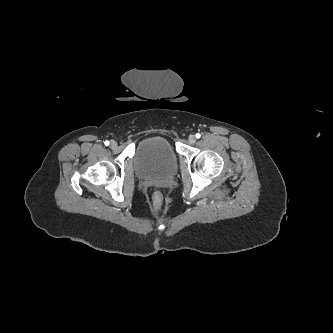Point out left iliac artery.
I'll list each match as a JSON object with an SVG mask.
<instances>
[{"instance_id": "1", "label": "left iliac artery", "mask_w": 333, "mask_h": 333, "mask_svg": "<svg viewBox=\"0 0 333 333\" xmlns=\"http://www.w3.org/2000/svg\"><path fill=\"white\" fill-rule=\"evenodd\" d=\"M195 136H196V138H198V139L201 137V135H200L199 133H197Z\"/></svg>"}]
</instances>
